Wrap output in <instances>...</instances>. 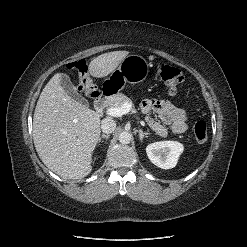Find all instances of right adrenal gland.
Returning a JSON list of instances; mask_svg holds the SVG:
<instances>
[{
	"label": "right adrenal gland",
	"instance_id": "1",
	"mask_svg": "<svg viewBox=\"0 0 247 247\" xmlns=\"http://www.w3.org/2000/svg\"><path fill=\"white\" fill-rule=\"evenodd\" d=\"M110 137V135L109 134H102L100 137H99V143L102 141V139H106V141L108 140V138Z\"/></svg>",
	"mask_w": 247,
	"mask_h": 247
}]
</instances>
